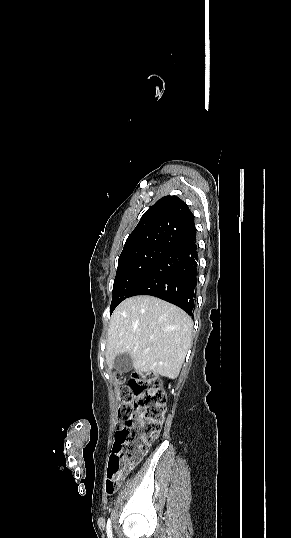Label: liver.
<instances>
[{
	"instance_id": "liver-1",
	"label": "liver",
	"mask_w": 291,
	"mask_h": 538,
	"mask_svg": "<svg viewBox=\"0 0 291 538\" xmlns=\"http://www.w3.org/2000/svg\"><path fill=\"white\" fill-rule=\"evenodd\" d=\"M193 322L180 308L153 296L124 300L113 312L106 360L128 353L138 373L175 378L191 344Z\"/></svg>"
}]
</instances>
